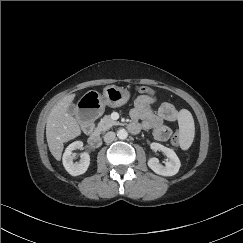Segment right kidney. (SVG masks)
<instances>
[{"mask_svg": "<svg viewBox=\"0 0 243 243\" xmlns=\"http://www.w3.org/2000/svg\"><path fill=\"white\" fill-rule=\"evenodd\" d=\"M82 147V141H75L66 148L63 154V166L65 167L66 171L72 176L84 174L90 165V156L88 153H82L79 162L73 161V150L81 149Z\"/></svg>", "mask_w": 243, "mask_h": 243, "instance_id": "1", "label": "right kidney"}]
</instances>
